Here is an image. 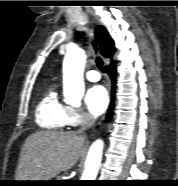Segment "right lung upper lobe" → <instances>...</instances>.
Listing matches in <instances>:
<instances>
[{"label": "right lung upper lobe", "mask_w": 178, "mask_h": 186, "mask_svg": "<svg viewBox=\"0 0 178 186\" xmlns=\"http://www.w3.org/2000/svg\"><path fill=\"white\" fill-rule=\"evenodd\" d=\"M96 43L99 46L102 56L112 58L116 49L114 47L113 39L109 36L107 30L103 26H98L95 30ZM115 61H112L111 65H115Z\"/></svg>", "instance_id": "cb5924a9"}]
</instances>
